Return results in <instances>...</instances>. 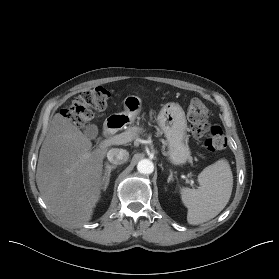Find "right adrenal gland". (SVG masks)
<instances>
[{
	"mask_svg": "<svg viewBox=\"0 0 279 279\" xmlns=\"http://www.w3.org/2000/svg\"><path fill=\"white\" fill-rule=\"evenodd\" d=\"M105 165L106 166H105L104 178H103L105 180L104 190H106L107 188L112 170L117 168V165H110L108 162Z\"/></svg>",
	"mask_w": 279,
	"mask_h": 279,
	"instance_id": "2a0ac1e0",
	"label": "right adrenal gland"
}]
</instances>
